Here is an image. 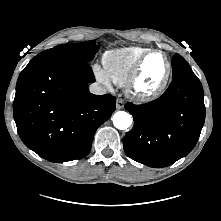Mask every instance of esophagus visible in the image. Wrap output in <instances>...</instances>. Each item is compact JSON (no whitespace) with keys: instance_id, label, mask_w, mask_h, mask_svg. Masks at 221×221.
<instances>
[{"instance_id":"obj_1","label":"esophagus","mask_w":221,"mask_h":221,"mask_svg":"<svg viewBox=\"0 0 221 221\" xmlns=\"http://www.w3.org/2000/svg\"><path fill=\"white\" fill-rule=\"evenodd\" d=\"M124 105H125V103H124V100H123V99L118 98V99L116 100V108H117L118 110L122 109V108L124 107Z\"/></svg>"}]
</instances>
